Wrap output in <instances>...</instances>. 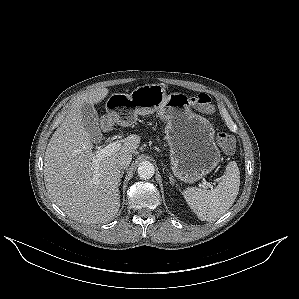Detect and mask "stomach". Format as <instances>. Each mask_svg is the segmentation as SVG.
<instances>
[{
    "mask_svg": "<svg viewBox=\"0 0 299 299\" xmlns=\"http://www.w3.org/2000/svg\"><path fill=\"white\" fill-rule=\"evenodd\" d=\"M109 102V123L131 124L138 115L157 112L167 123L165 139L170 147L172 170L180 180L193 183L218 165L220 151L214 140V129L206 118L191 110L194 102L186 94L167 95L162 85L148 84L137 87L130 95L113 94Z\"/></svg>",
    "mask_w": 299,
    "mask_h": 299,
    "instance_id": "stomach-1",
    "label": "stomach"
}]
</instances>
